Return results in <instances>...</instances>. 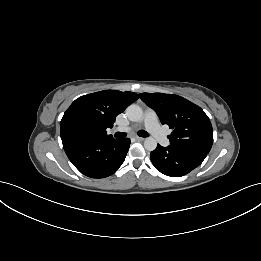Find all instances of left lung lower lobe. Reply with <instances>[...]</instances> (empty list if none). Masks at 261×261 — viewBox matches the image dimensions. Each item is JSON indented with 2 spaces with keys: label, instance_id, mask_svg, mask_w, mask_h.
<instances>
[{
  "label": "left lung lower lobe",
  "instance_id": "0a47b994",
  "mask_svg": "<svg viewBox=\"0 0 261 261\" xmlns=\"http://www.w3.org/2000/svg\"><path fill=\"white\" fill-rule=\"evenodd\" d=\"M206 155L207 153L191 148L172 145L162 147L158 144L157 148L150 153V159L161 173L171 177H180L198 167Z\"/></svg>",
  "mask_w": 261,
  "mask_h": 261
}]
</instances>
